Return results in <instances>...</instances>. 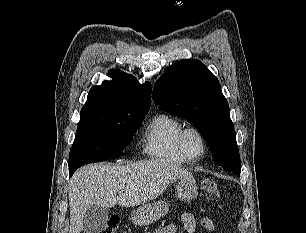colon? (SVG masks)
Segmentation results:
<instances>
[{
	"instance_id": "colon-1",
	"label": "colon",
	"mask_w": 306,
	"mask_h": 233,
	"mask_svg": "<svg viewBox=\"0 0 306 233\" xmlns=\"http://www.w3.org/2000/svg\"><path fill=\"white\" fill-rule=\"evenodd\" d=\"M202 191L211 199L216 200L219 197V190L215 180L205 178L200 183ZM119 224L118 217L112 216L108 219L106 225L98 233H116ZM157 233V232H155Z\"/></svg>"
}]
</instances>
